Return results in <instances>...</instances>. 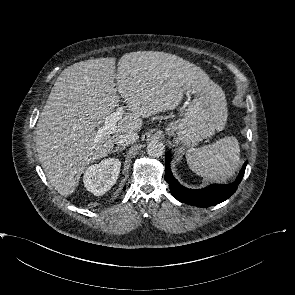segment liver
I'll return each instance as SVG.
<instances>
[{
    "label": "liver",
    "instance_id": "1",
    "mask_svg": "<svg viewBox=\"0 0 295 295\" xmlns=\"http://www.w3.org/2000/svg\"><path fill=\"white\" fill-rule=\"evenodd\" d=\"M90 59L65 68L40 114L36 148L54 189L69 196L86 167L113 149L115 138L138 132L142 118L175 109L184 92L208 82L198 66L173 54L137 51ZM117 80V84L114 80ZM120 97L129 110L116 130L98 137L95 128L112 114Z\"/></svg>",
    "mask_w": 295,
    "mask_h": 295
}]
</instances>
